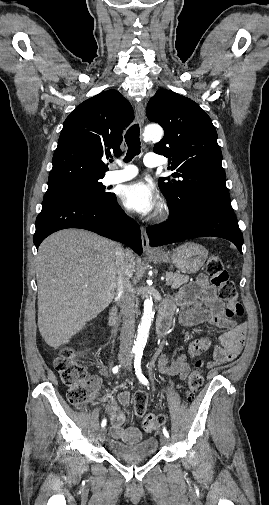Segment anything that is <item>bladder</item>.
Returning <instances> with one entry per match:
<instances>
[{"label": "bladder", "mask_w": 269, "mask_h": 505, "mask_svg": "<svg viewBox=\"0 0 269 505\" xmlns=\"http://www.w3.org/2000/svg\"><path fill=\"white\" fill-rule=\"evenodd\" d=\"M110 452L122 459H138L153 456L158 448V440L148 437L135 443H125L111 439L108 443Z\"/></svg>", "instance_id": "obj_1"}]
</instances>
